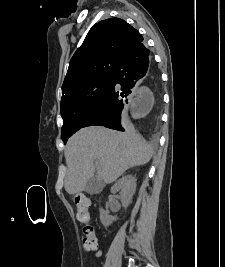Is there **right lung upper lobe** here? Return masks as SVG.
<instances>
[{"label": "right lung upper lobe", "mask_w": 225, "mask_h": 267, "mask_svg": "<svg viewBox=\"0 0 225 267\" xmlns=\"http://www.w3.org/2000/svg\"><path fill=\"white\" fill-rule=\"evenodd\" d=\"M142 41V35L123 19L94 24L70 60L62 93L85 81L113 74L122 55Z\"/></svg>", "instance_id": "cb5924a9"}]
</instances>
